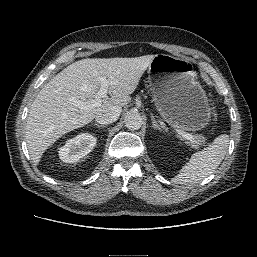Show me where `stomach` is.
Returning a JSON list of instances; mask_svg holds the SVG:
<instances>
[{"instance_id": "stomach-1", "label": "stomach", "mask_w": 257, "mask_h": 257, "mask_svg": "<svg viewBox=\"0 0 257 257\" xmlns=\"http://www.w3.org/2000/svg\"><path fill=\"white\" fill-rule=\"evenodd\" d=\"M148 72L153 101L169 124L186 131H198L209 125V100L196 81L191 61L158 54Z\"/></svg>"}]
</instances>
